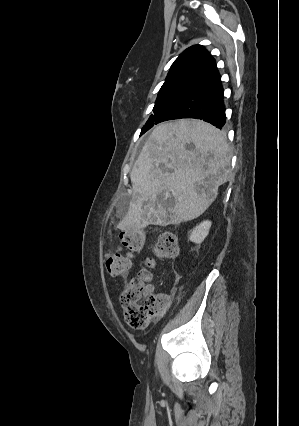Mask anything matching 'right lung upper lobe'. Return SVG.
Masks as SVG:
<instances>
[{
  "instance_id": "obj_1",
  "label": "right lung upper lobe",
  "mask_w": 299,
  "mask_h": 426,
  "mask_svg": "<svg viewBox=\"0 0 299 426\" xmlns=\"http://www.w3.org/2000/svg\"><path fill=\"white\" fill-rule=\"evenodd\" d=\"M220 78L215 60L201 45L186 49L172 64L163 85L188 84L195 87Z\"/></svg>"
}]
</instances>
